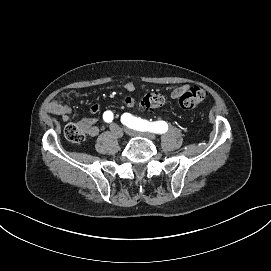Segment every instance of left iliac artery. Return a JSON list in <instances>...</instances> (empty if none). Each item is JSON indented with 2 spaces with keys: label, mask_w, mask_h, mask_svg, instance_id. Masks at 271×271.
<instances>
[{
  "label": "left iliac artery",
  "mask_w": 271,
  "mask_h": 271,
  "mask_svg": "<svg viewBox=\"0 0 271 271\" xmlns=\"http://www.w3.org/2000/svg\"><path fill=\"white\" fill-rule=\"evenodd\" d=\"M121 122L131 129L142 132L149 131L162 134L168 130V125L165 121H156L151 123L141 118L132 117L129 113H124L121 116Z\"/></svg>",
  "instance_id": "obj_1"
}]
</instances>
